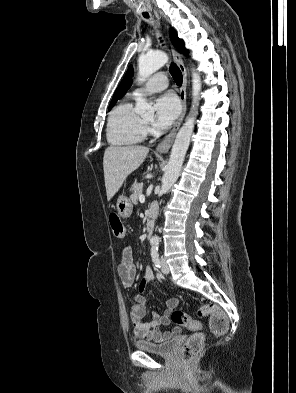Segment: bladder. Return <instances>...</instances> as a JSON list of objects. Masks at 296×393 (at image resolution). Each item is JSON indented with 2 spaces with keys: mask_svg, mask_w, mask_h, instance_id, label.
<instances>
[{
  "mask_svg": "<svg viewBox=\"0 0 296 393\" xmlns=\"http://www.w3.org/2000/svg\"><path fill=\"white\" fill-rule=\"evenodd\" d=\"M176 345L177 341L173 337L164 339L160 342H152L148 340H138L135 342V347L138 350L161 356L172 355Z\"/></svg>",
  "mask_w": 296,
  "mask_h": 393,
  "instance_id": "1",
  "label": "bladder"
}]
</instances>
